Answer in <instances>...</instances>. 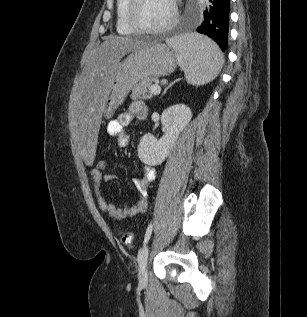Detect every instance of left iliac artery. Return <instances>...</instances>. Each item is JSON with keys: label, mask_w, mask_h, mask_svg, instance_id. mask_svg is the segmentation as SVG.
<instances>
[{"label": "left iliac artery", "mask_w": 307, "mask_h": 317, "mask_svg": "<svg viewBox=\"0 0 307 317\" xmlns=\"http://www.w3.org/2000/svg\"><path fill=\"white\" fill-rule=\"evenodd\" d=\"M152 229H153V225H152V223H150L147 230H146V233H145L144 245L149 241L151 234H152Z\"/></svg>", "instance_id": "44dca946"}]
</instances>
